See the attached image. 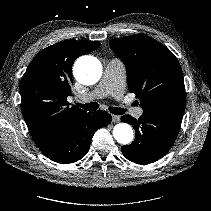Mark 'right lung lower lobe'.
<instances>
[{"label":"right lung lower lobe","instance_id":"obj_1","mask_svg":"<svg viewBox=\"0 0 211 211\" xmlns=\"http://www.w3.org/2000/svg\"><path fill=\"white\" fill-rule=\"evenodd\" d=\"M111 122V115L105 111L84 112L66 125L57 137L41 152L52 161L69 164L83 158L89 150L97 129Z\"/></svg>","mask_w":211,"mask_h":211}]
</instances>
